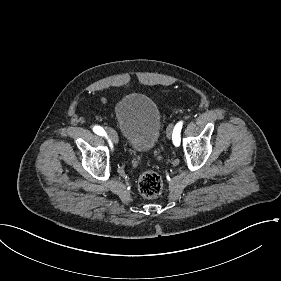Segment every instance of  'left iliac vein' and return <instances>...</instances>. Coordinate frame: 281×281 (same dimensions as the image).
I'll list each match as a JSON object with an SVG mask.
<instances>
[{
  "label": "left iliac vein",
  "instance_id": "left-iliac-vein-1",
  "mask_svg": "<svg viewBox=\"0 0 281 281\" xmlns=\"http://www.w3.org/2000/svg\"><path fill=\"white\" fill-rule=\"evenodd\" d=\"M173 130H174L173 125L170 124V125L168 126V128H167V137H168V138H171V137H172V135H173Z\"/></svg>",
  "mask_w": 281,
  "mask_h": 281
}]
</instances>
